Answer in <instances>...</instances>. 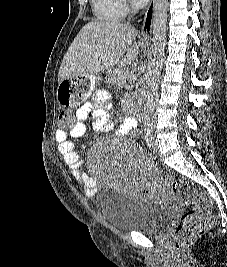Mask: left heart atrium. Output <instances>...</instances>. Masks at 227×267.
<instances>
[{
  "label": "left heart atrium",
  "mask_w": 227,
  "mask_h": 267,
  "mask_svg": "<svg viewBox=\"0 0 227 267\" xmlns=\"http://www.w3.org/2000/svg\"><path fill=\"white\" fill-rule=\"evenodd\" d=\"M133 1H134V3H136L138 5H143V4L148 2V0H133Z\"/></svg>",
  "instance_id": "left-heart-atrium-1"
}]
</instances>
